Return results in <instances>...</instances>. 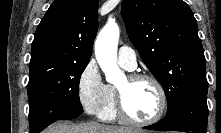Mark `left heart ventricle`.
I'll list each match as a JSON object with an SVG mask.
<instances>
[{"mask_svg": "<svg viewBox=\"0 0 221 133\" xmlns=\"http://www.w3.org/2000/svg\"><path fill=\"white\" fill-rule=\"evenodd\" d=\"M118 87L124 92L125 105L130 116L147 120L155 115L159 107V95L152 82L140 80L130 83L125 78Z\"/></svg>", "mask_w": 221, "mask_h": 133, "instance_id": "1", "label": "left heart ventricle"}]
</instances>
